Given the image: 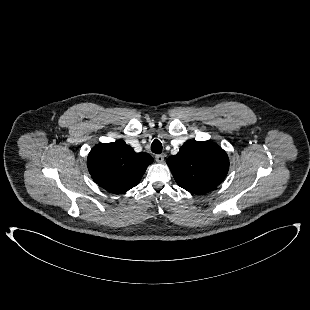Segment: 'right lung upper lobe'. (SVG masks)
I'll return each instance as SVG.
<instances>
[{
    "label": "right lung upper lobe",
    "mask_w": 310,
    "mask_h": 310,
    "mask_svg": "<svg viewBox=\"0 0 310 310\" xmlns=\"http://www.w3.org/2000/svg\"><path fill=\"white\" fill-rule=\"evenodd\" d=\"M152 162L148 153H136L123 140H117L96 145L88 155L87 166L100 187L118 194L136 186Z\"/></svg>",
    "instance_id": "1"
}]
</instances>
